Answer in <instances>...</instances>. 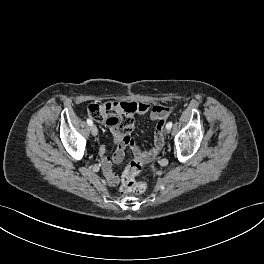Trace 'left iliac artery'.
Instances as JSON below:
<instances>
[{
  "instance_id": "left-iliac-artery-1",
  "label": "left iliac artery",
  "mask_w": 264,
  "mask_h": 264,
  "mask_svg": "<svg viewBox=\"0 0 264 264\" xmlns=\"http://www.w3.org/2000/svg\"><path fill=\"white\" fill-rule=\"evenodd\" d=\"M173 126V123L172 122H168L167 125H166V128L167 129H171Z\"/></svg>"
}]
</instances>
